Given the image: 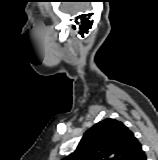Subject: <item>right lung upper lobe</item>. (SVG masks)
Masks as SVG:
<instances>
[{
	"mask_svg": "<svg viewBox=\"0 0 158 160\" xmlns=\"http://www.w3.org/2000/svg\"><path fill=\"white\" fill-rule=\"evenodd\" d=\"M142 146L122 122L105 119L91 127L63 160H132Z\"/></svg>",
	"mask_w": 158,
	"mask_h": 160,
	"instance_id": "obj_1",
	"label": "right lung upper lobe"
}]
</instances>
